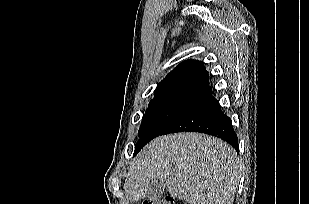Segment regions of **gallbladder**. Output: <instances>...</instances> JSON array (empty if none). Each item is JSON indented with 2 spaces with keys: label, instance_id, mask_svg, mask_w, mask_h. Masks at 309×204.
<instances>
[{
  "label": "gallbladder",
  "instance_id": "gallbladder-1",
  "mask_svg": "<svg viewBox=\"0 0 309 204\" xmlns=\"http://www.w3.org/2000/svg\"><path fill=\"white\" fill-rule=\"evenodd\" d=\"M165 188L166 185L164 181L160 179H153L148 188L149 199L153 201L159 200L162 197Z\"/></svg>",
  "mask_w": 309,
  "mask_h": 204
}]
</instances>
